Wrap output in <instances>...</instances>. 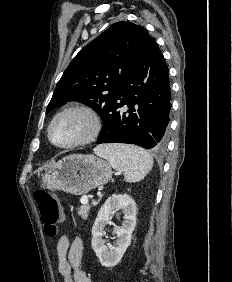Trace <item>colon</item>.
<instances>
[{"instance_id": "colon-1", "label": "colon", "mask_w": 232, "mask_h": 282, "mask_svg": "<svg viewBox=\"0 0 232 282\" xmlns=\"http://www.w3.org/2000/svg\"><path fill=\"white\" fill-rule=\"evenodd\" d=\"M34 199L40 212L45 234L54 237L59 230L62 219L57 196L51 190H39L34 193Z\"/></svg>"}]
</instances>
